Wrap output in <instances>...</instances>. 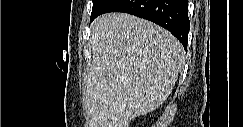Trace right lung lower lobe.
<instances>
[{
	"mask_svg": "<svg viewBox=\"0 0 243 127\" xmlns=\"http://www.w3.org/2000/svg\"><path fill=\"white\" fill-rule=\"evenodd\" d=\"M107 12H124L150 20L170 31L187 49L188 0H107L90 21Z\"/></svg>",
	"mask_w": 243,
	"mask_h": 127,
	"instance_id": "1",
	"label": "right lung lower lobe"
}]
</instances>
